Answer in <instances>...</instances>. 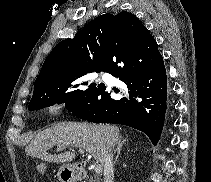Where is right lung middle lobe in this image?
<instances>
[{"label":"right lung middle lobe","instance_id":"obj_1","mask_svg":"<svg viewBox=\"0 0 211 182\" xmlns=\"http://www.w3.org/2000/svg\"><path fill=\"white\" fill-rule=\"evenodd\" d=\"M94 70L70 79L49 83L34 90L28 110H38L65 102L68 111H73L87 100L98 88L97 83L90 77Z\"/></svg>","mask_w":211,"mask_h":182}]
</instances>
